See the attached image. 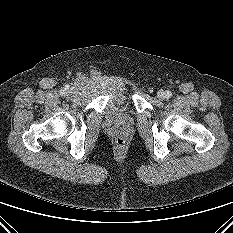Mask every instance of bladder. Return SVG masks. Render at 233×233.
I'll use <instances>...</instances> for the list:
<instances>
[{
	"mask_svg": "<svg viewBox=\"0 0 233 233\" xmlns=\"http://www.w3.org/2000/svg\"><path fill=\"white\" fill-rule=\"evenodd\" d=\"M111 93L113 95L105 108L106 117L113 122H126L129 119L130 111L123 89L115 87L111 90Z\"/></svg>",
	"mask_w": 233,
	"mask_h": 233,
	"instance_id": "1",
	"label": "bladder"
}]
</instances>
